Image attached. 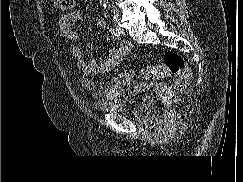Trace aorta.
I'll return each instance as SVG.
<instances>
[{
  "instance_id": "obj_1",
  "label": "aorta",
  "mask_w": 243,
  "mask_h": 182,
  "mask_svg": "<svg viewBox=\"0 0 243 182\" xmlns=\"http://www.w3.org/2000/svg\"><path fill=\"white\" fill-rule=\"evenodd\" d=\"M99 3H100L101 6H103L104 8H106L107 5H108V0H99Z\"/></svg>"
}]
</instances>
